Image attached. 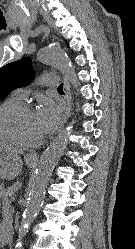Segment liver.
<instances>
[{
  "label": "liver",
  "instance_id": "obj_1",
  "mask_svg": "<svg viewBox=\"0 0 135 249\" xmlns=\"http://www.w3.org/2000/svg\"><path fill=\"white\" fill-rule=\"evenodd\" d=\"M5 149L12 152V153H14V154H17V155L23 153V150H19V149H16V148L6 147Z\"/></svg>",
  "mask_w": 135,
  "mask_h": 249
}]
</instances>
